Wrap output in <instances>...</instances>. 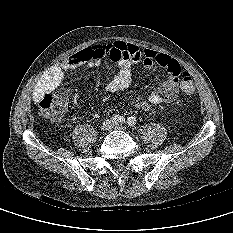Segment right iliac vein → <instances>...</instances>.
Listing matches in <instances>:
<instances>
[{
  "label": "right iliac vein",
  "mask_w": 233,
  "mask_h": 233,
  "mask_svg": "<svg viewBox=\"0 0 233 233\" xmlns=\"http://www.w3.org/2000/svg\"><path fill=\"white\" fill-rule=\"evenodd\" d=\"M111 127H112V121L111 120H105L101 124V130H103V131L109 130Z\"/></svg>",
  "instance_id": "right-iliac-vein-1"
}]
</instances>
